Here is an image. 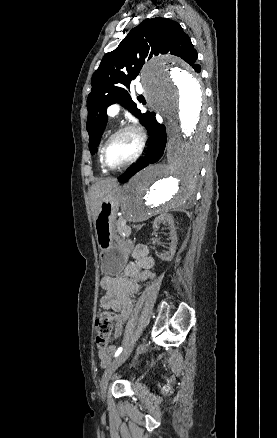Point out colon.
<instances>
[{
	"mask_svg": "<svg viewBox=\"0 0 277 438\" xmlns=\"http://www.w3.org/2000/svg\"><path fill=\"white\" fill-rule=\"evenodd\" d=\"M114 332V315L110 311L103 312L102 316L95 320V334L97 344L106 347Z\"/></svg>",
	"mask_w": 277,
	"mask_h": 438,
	"instance_id": "obj_1",
	"label": "colon"
}]
</instances>
